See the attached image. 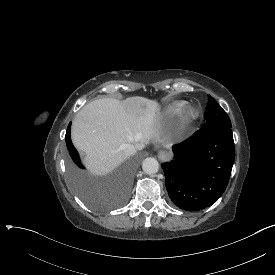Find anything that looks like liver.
I'll use <instances>...</instances> for the list:
<instances>
[{"label":"liver","instance_id":"liver-1","mask_svg":"<svg viewBox=\"0 0 275 275\" xmlns=\"http://www.w3.org/2000/svg\"><path fill=\"white\" fill-rule=\"evenodd\" d=\"M159 101L142 96L96 99L78 111L71 125L73 145L84 153L81 163L92 178H104L127 160L125 144L137 151L164 140L157 135Z\"/></svg>","mask_w":275,"mask_h":275}]
</instances>
